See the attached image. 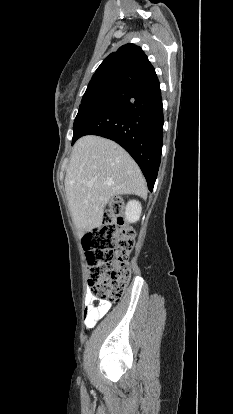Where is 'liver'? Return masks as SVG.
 I'll use <instances>...</instances> for the list:
<instances>
[{"label": "liver", "mask_w": 233, "mask_h": 414, "mask_svg": "<svg viewBox=\"0 0 233 414\" xmlns=\"http://www.w3.org/2000/svg\"><path fill=\"white\" fill-rule=\"evenodd\" d=\"M65 191L81 236L101 226L104 208L115 196L147 197L146 182L136 162L114 141L95 135L75 143Z\"/></svg>", "instance_id": "obj_1"}]
</instances>
